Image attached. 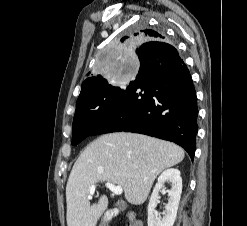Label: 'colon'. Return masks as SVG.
Instances as JSON below:
<instances>
[{"label":"colon","mask_w":247,"mask_h":226,"mask_svg":"<svg viewBox=\"0 0 247 226\" xmlns=\"http://www.w3.org/2000/svg\"><path fill=\"white\" fill-rule=\"evenodd\" d=\"M122 226H142V223L140 221H133V222H127L125 225Z\"/></svg>","instance_id":"obj_1"}]
</instances>
